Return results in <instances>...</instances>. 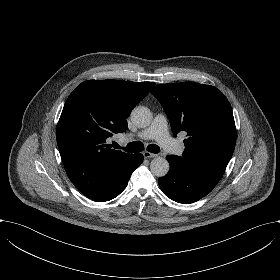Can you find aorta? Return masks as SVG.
Segmentation results:
<instances>
[{
	"label": "aorta",
	"mask_w": 280,
	"mask_h": 280,
	"mask_svg": "<svg viewBox=\"0 0 280 280\" xmlns=\"http://www.w3.org/2000/svg\"><path fill=\"white\" fill-rule=\"evenodd\" d=\"M131 120L137 127L145 128L151 123L152 114L149 109L138 106L131 112ZM150 170L156 177H163L169 171V163L162 157H156L150 164Z\"/></svg>",
	"instance_id": "obj_1"
}]
</instances>
